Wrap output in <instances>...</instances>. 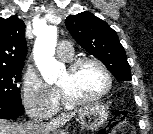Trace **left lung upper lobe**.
Masks as SVG:
<instances>
[{"mask_svg":"<svg viewBox=\"0 0 153 134\" xmlns=\"http://www.w3.org/2000/svg\"><path fill=\"white\" fill-rule=\"evenodd\" d=\"M65 24L77 43L99 58L115 78L122 81L131 80L125 50L116 32L105 21L85 11L68 16Z\"/></svg>","mask_w":153,"mask_h":134,"instance_id":"left-lung-upper-lobe-1","label":"left lung upper lobe"}]
</instances>
